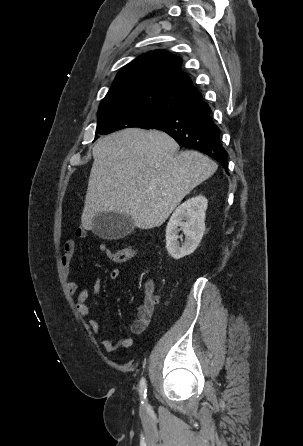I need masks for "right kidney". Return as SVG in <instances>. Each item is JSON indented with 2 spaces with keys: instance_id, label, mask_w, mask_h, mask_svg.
<instances>
[{
  "instance_id": "ca27d5eb",
  "label": "right kidney",
  "mask_w": 303,
  "mask_h": 446,
  "mask_svg": "<svg viewBox=\"0 0 303 446\" xmlns=\"http://www.w3.org/2000/svg\"><path fill=\"white\" fill-rule=\"evenodd\" d=\"M207 206V199L199 195L188 199L173 212L166 227V248L174 259L190 255L198 247L205 232ZM180 230L185 235L182 246L178 241Z\"/></svg>"
}]
</instances>
